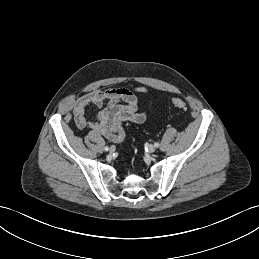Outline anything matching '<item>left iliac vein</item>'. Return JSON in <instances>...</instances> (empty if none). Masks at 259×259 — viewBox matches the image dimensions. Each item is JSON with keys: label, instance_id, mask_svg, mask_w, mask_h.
Wrapping results in <instances>:
<instances>
[{"label": "left iliac vein", "instance_id": "obj_1", "mask_svg": "<svg viewBox=\"0 0 259 259\" xmlns=\"http://www.w3.org/2000/svg\"><path fill=\"white\" fill-rule=\"evenodd\" d=\"M155 150H156V147L154 145H149L148 146V152L149 153H153V152H155Z\"/></svg>", "mask_w": 259, "mask_h": 259}]
</instances>
